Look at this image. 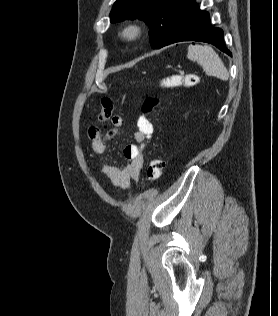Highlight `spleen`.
Here are the masks:
<instances>
[{
	"label": "spleen",
	"instance_id": "spleen-1",
	"mask_svg": "<svg viewBox=\"0 0 278 316\" xmlns=\"http://www.w3.org/2000/svg\"><path fill=\"white\" fill-rule=\"evenodd\" d=\"M187 57L200 64L206 74L216 76L222 80L229 78V73L223 61L212 47L207 45H190Z\"/></svg>",
	"mask_w": 278,
	"mask_h": 316
}]
</instances>
